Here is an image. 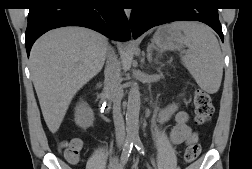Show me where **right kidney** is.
I'll return each instance as SVG.
<instances>
[{
	"label": "right kidney",
	"instance_id": "ca27d5eb",
	"mask_svg": "<svg viewBox=\"0 0 252 169\" xmlns=\"http://www.w3.org/2000/svg\"><path fill=\"white\" fill-rule=\"evenodd\" d=\"M75 122L82 128H87L93 124L94 114L84 103H80L75 109Z\"/></svg>",
	"mask_w": 252,
	"mask_h": 169
}]
</instances>
